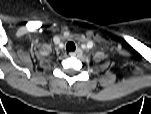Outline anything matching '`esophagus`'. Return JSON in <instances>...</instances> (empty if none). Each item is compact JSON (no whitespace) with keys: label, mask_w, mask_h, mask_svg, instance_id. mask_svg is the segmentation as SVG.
Listing matches in <instances>:
<instances>
[{"label":"esophagus","mask_w":151,"mask_h":114,"mask_svg":"<svg viewBox=\"0 0 151 114\" xmlns=\"http://www.w3.org/2000/svg\"><path fill=\"white\" fill-rule=\"evenodd\" d=\"M81 54H82V51L80 49H77L76 51L69 53L70 56H74V57L79 56Z\"/></svg>","instance_id":"obj_1"}]
</instances>
